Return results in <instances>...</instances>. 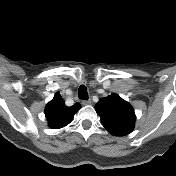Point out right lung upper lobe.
Returning a JSON list of instances; mask_svg holds the SVG:
<instances>
[{
    "instance_id": "1",
    "label": "right lung upper lobe",
    "mask_w": 176,
    "mask_h": 176,
    "mask_svg": "<svg viewBox=\"0 0 176 176\" xmlns=\"http://www.w3.org/2000/svg\"><path fill=\"white\" fill-rule=\"evenodd\" d=\"M81 108L79 103H75L71 107L65 105L59 92L46 105L45 116L49 121V126L53 129H59L69 124L74 114Z\"/></svg>"
}]
</instances>
